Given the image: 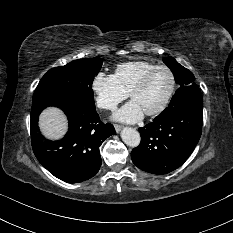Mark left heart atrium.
Returning <instances> with one entry per match:
<instances>
[{"instance_id": "39dd6f15", "label": "left heart atrium", "mask_w": 233, "mask_h": 233, "mask_svg": "<svg viewBox=\"0 0 233 233\" xmlns=\"http://www.w3.org/2000/svg\"><path fill=\"white\" fill-rule=\"evenodd\" d=\"M143 110L139 107V105L131 100L114 114V119L125 122V123H135L141 120L144 116Z\"/></svg>"}]
</instances>
